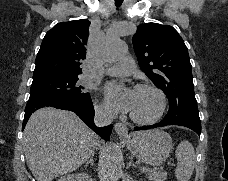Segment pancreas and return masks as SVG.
Returning <instances> with one entry per match:
<instances>
[{
    "label": "pancreas",
    "mask_w": 228,
    "mask_h": 181,
    "mask_svg": "<svg viewBox=\"0 0 228 181\" xmlns=\"http://www.w3.org/2000/svg\"><path fill=\"white\" fill-rule=\"evenodd\" d=\"M148 175V179H152V181H166L167 177V173H160L158 169H150Z\"/></svg>",
    "instance_id": "obj_1"
}]
</instances>
